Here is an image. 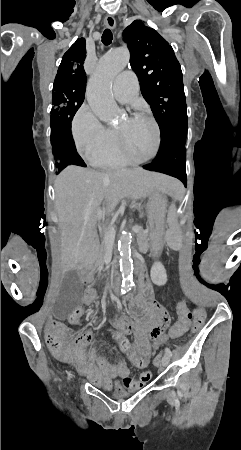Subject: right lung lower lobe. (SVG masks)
<instances>
[{
	"instance_id": "98d812e1",
	"label": "right lung lower lobe",
	"mask_w": 241,
	"mask_h": 450,
	"mask_svg": "<svg viewBox=\"0 0 241 450\" xmlns=\"http://www.w3.org/2000/svg\"><path fill=\"white\" fill-rule=\"evenodd\" d=\"M65 156L69 162V165H78V166L86 167V164L84 163V161L82 160V158L78 155V153L76 151L74 142L72 145L67 146L65 148Z\"/></svg>"
}]
</instances>
